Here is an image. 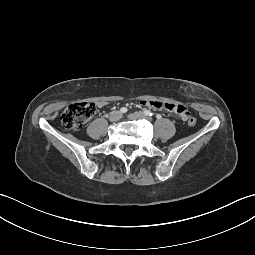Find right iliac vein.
<instances>
[{
  "mask_svg": "<svg viewBox=\"0 0 255 255\" xmlns=\"http://www.w3.org/2000/svg\"><path fill=\"white\" fill-rule=\"evenodd\" d=\"M122 117L120 111H113L110 113L109 120L112 122L118 121Z\"/></svg>",
  "mask_w": 255,
  "mask_h": 255,
  "instance_id": "63e3f726",
  "label": "right iliac vein"
}]
</instances>
